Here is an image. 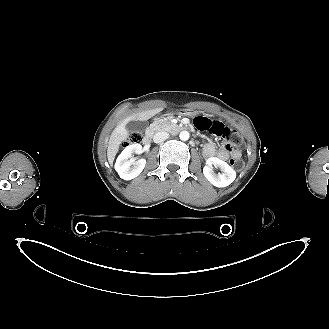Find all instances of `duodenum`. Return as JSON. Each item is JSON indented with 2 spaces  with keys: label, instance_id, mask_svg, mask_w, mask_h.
<instances>
[{
  "label": "duodenum",
  "instance_id": "410a0bca",
  "mask_svg": "<svg viewBox=\"0 0 329 329\" xmlns=\"http://www.w3.org/2000/svg\"><path fill=\"white\" fill-rule=\"evenodd\" d=\"M168 114H169V112H168ZM185 129H187V128H185ZM151 139H152V133H151V132H148V133H146V135L143 137V143H144L145 145H148V144L151 143Z\"/></svg>",
  "mask_w": 329,
  "mask_h": 329
}]
</instances>
